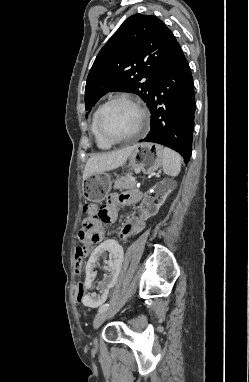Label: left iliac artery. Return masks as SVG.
I'll use <instances>...</instances> for the list:
<instances>
[{
  "label": "left iliac artery",
  "mask_w": 249,
  "mask_h": 382,
  "mask_svg": "<svg viewBox=\"0 0 249 382\" xmlns=\"http://www.w3.org/2000/svg\"><path fill=\"white\" fill-rule=\"evenodd\" d=\"M108 307H109V304H108V303L102 305V306L99 308V312H100V311H106V310L108 309Z\"/></svg>",
  "instance_id": "obj_1"
}]
</instances>
